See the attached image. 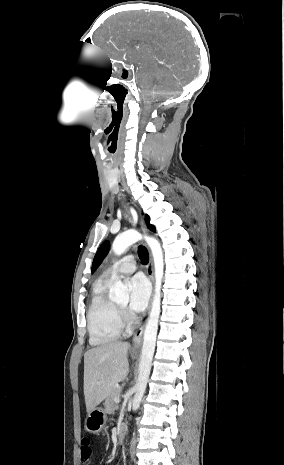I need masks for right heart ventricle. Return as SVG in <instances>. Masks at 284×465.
Returning <instances> with one entry per match:
<instances>
[{
    "instance_id": "obj_1",
    "label": "right heart ventricle",
    "mask_w": 284,
    "mask_h": 465,
    "mask_svg": "<svg viewBox=\"0 0 284 465\" xmlns=\"http://www.w3.org/2000/svg\"><path fill=\"white\" fill-rule=\"evenodd\" d=\"M86 320L92 346H108L120 339L122 330L117 322L121 319L116 306L107 297L106 284H99L94 288Z\"/></svg>"
}]
</instances>
